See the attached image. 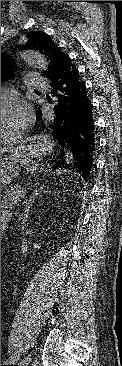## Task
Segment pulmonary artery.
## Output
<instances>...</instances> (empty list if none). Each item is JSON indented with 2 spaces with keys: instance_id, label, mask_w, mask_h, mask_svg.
Returning a JSON list of instances; mask_svg holds the SVG:
<instances>
[{
  "instance_id": "1",
  "label": "pulmonary artery",
  "mask_w": 122,
  "mask_h": 366,
  "mask_svg": "<svg viewBox=\"0 0 122 366\" xmlns=\"http://www.w3.org/2000/svg\"><path fill=\"white\" fill-rule=\"evenodd\" d=\"M26 77L34 88H43L46 86V82L35 73H27Z\"/></svg>"
}]
</instances>
